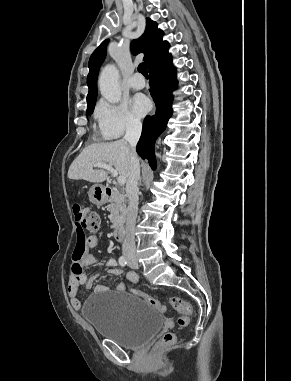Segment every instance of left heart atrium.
Returning <instances> with one entry per match:
<instances>
[{
	"label": "left heart atrium",
	"mask_w": 291,
	"mask_h": 381,
	"mask_svg": "<svg viewBox=\"0 0 291 381\" xmlns=\"http://www.w3.org/2000/svg\"><path fill=\"white\" fill-rule=\"evenodd\" d=\"M151 108V103L144 95L138 94L133 98V109L140 115H145Z\"/></svg>",
	"instance_id": "1"
}]
</instances>
